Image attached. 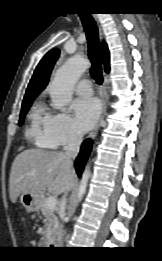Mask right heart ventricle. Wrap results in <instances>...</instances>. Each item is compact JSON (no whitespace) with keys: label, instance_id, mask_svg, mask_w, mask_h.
Segmentation results:
<instances>
[{"label":"right heart ventricle","instance_id":"right-heart-ventricle-1","mask_svg":"<svg viewBox=\"0 0 162 261\" xmlns=\"http://www.w3.org/2000/svg\"><path fill=\"white\" fill-rule=\"evenodd\" d=\"M49 117L45 107L41 103H36L29 114L28 135L33 138L36 143L45 148L52 147L44 135V125Z\"/></svg>","mask_w":162,"mask_h":261}]
</instances>
